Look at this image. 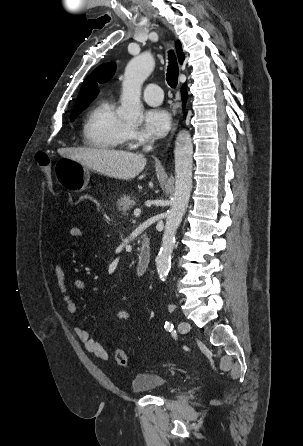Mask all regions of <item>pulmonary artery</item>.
I'll return each instance as SVG.
<instances>
[{
  "instance_id": "pulmonary-artery-1",
  "label": "pulmonary artery",
  "mask_w": 303,
  "mask_h": 446,
  "mask_svg": "<svg viewBox=\"0 0 303 446\" xmlns=\"http://www.w3.org/2000/svg\"><path fill=\"white\" fill-rule=\"evenodd\" d=\"M143 98L150 105H159L163 100L162 89L157 84H148L144 88Z\"/></svg>"
}]
</instances>
